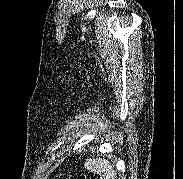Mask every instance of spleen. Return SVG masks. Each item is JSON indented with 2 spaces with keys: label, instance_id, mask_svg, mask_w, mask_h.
Here are the masks:
<instances>
[{
  "label": "spleen",
  "instance_id": "1",
  "mask_svg": "<svg viewBox=\"0 0 183 179\" xmlns=\"http://www.w3.org/2000/svg\"><path fill=\"white\" fill-rule=\"evenodd\" d=\"M85 168L90 172L100 175V179H115L116 172L113 165L104 158H89L85 162Z\"/></svg>",
  "mask_w": 183,
  "mask_h": 179
}]
</instances>
